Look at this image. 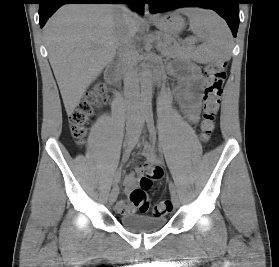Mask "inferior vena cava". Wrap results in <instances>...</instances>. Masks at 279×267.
Instances as JSON below:
<instances>
[{
    "instance_id": "602c4592",
    "label": "inferior vena cava",
    "mask_w": 279,
    "mask_h": 267,
    "mask_svg": "<svg viewBox=\"0 0 279 267\" xmlns=\"http://www.w3.org/2000/svg\"><path fill=\"white\" fill-rule=\"evenodd\" d=\"M121 19L118 22L116 30V43L120 60L125 75V87L133 91L129 96L130 100H137L139 94L137 70H136V51L132 43L135 35V29L131 24V10L125 6H119Z\"/></svg>"
}]
</instances>
